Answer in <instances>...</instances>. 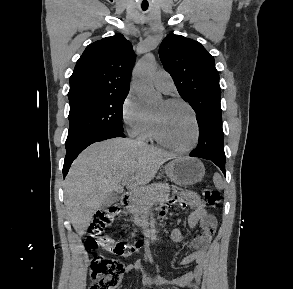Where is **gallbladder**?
I'll return each mask as SVG.
<instances>
[{
	"mask_svg": "<svg viewBox=\"0 0 293 289\" xmlns=\"http://www.w3.org/2000/svg\"><path fill=\"white\" fill-rule=\"evenodd\" d=\"M120 200V193L114 192L106 197L105 201L102 204V208L109 207L110 205L118 202Z\"/></svg>",
	"mask_w": 293,
	"mask_h": 289,
	"instance_id": "gallbladder-1",
	"label": "gallbladder"
}]
</instances>
